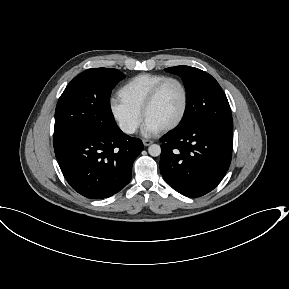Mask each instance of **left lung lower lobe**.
<instances>
[{
  "mask_svg": "<svg viewBox=\"0 0 289 289\" xmlns=\"http://www.w3.org/2000/svg\"><path fill=\"white\" fill-rule=\"evenodd\" d=\"M160 171L165 181L187 197L212 191L227 172L232 153V128L196 123L163 136Z\"/></svg>",
  "mask_w": 289,
  "mask_h": 289,
  "instance_id": "left-lung-lower-lobe-1",
  "label": "left lung lower lobe"
}]
</instances>
